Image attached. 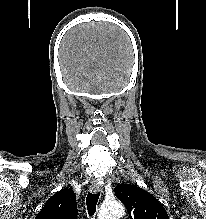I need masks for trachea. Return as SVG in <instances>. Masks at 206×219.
<instances>
[{
  "label": "trachea",
  "instance_id": "3493384b",
  "mask_svg": "<svg viewBox=\"0 0 206 219\" xmlns=\"http://www.w3.org/2000/svg\"><path fill=\"white\" fill-rule=\"evenodd\" d=\"M100 193L89 192L86 198L87 211L90 217H92L96 212V205L99 199Z\"/></svg>",
  "mask_w": 206,
  "mask_h": 219
}]
</instances>
